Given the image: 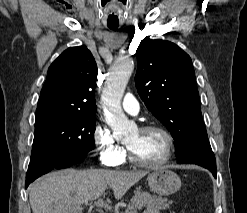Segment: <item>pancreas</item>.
Masks as SVG:
<instances>
[{
	"mask_svg": "<svg viewBox=\"0 0 247 213\" xmlns=\"http://www.w3.org/2000/svg\"><path fill=\"white\" fill-rule=\"evenodd\" d=\"M171 201L160 196L151 195L148 192L136 191L124 213H137L143 207H155L159 210L169 208Z\"/></svg>",
	"mask_w": 247,
	"mask_h": 213,
	"instance_id": "1",
	"label": "pancreas"
}]
</instances>
